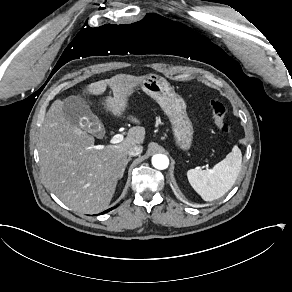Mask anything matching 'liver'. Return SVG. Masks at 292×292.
Returning <instances> with one entry per match:
<instances>
[{
  "instance_id": "6515ba94",
  "label": "liver",
  "mask_w": 292,
  "mask_h": 292,
  "mask_svg": "<svg viewBox=\"0 0 292 292\" xmlns=\"http://www.w3.org/2000/svg\"><path fill=\"white\" fill-rule=\"evenodd\" d=\"M143 79L118 74L110 79L88 85L94 95L105 92L107 85L113 98L106 99V108L120 116L127 106L131 90ZM63 102L56 100L42 122L38 152L41 172L47 187L71 210L83 214H96L107 209L116 184L127 163L128 151L141 144L145 128L129 129L119 144L94 146V137L72 124L62 110ZM133 122L136 118L130 117Z\"/></svg>"
}]
</instances>
